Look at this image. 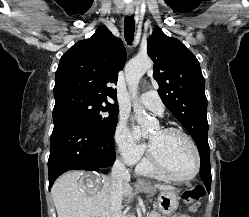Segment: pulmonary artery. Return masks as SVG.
Returning <instances> with one entry per match:
<instances>
[{"instance_id":"pulmonary-artery-1","label":"pulmonary artery","mask_w":249,"mask_h":217,"mask_svg":"<svg viewBox=\"0 0 249 217\" xmlns=\"http://www.w3.org/2000/svg\"><path fill=\"white\" fill-rule=\"evenodd\" d=\"M140 102L146 108L157 114H163L164 112V104L155 90H150L142 94L140 97Z\"/></svg>"}]
</instances>
